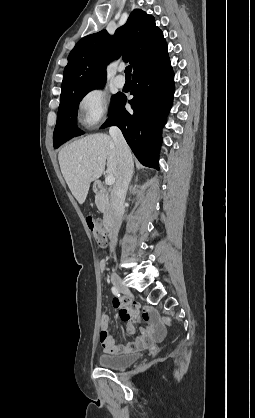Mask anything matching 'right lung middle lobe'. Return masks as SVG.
Wrapping results in <instances>:
<instances>
[{"label": "right lung middle lobe", "mask_w": 255, "mask_h": 418, "mask_svg": "<svg viewBox=\"0 0 255 418\" xmlns=\"http://www.w3.org/2000/svg\"><path fill=\"white\" fill-rule=\"evenodd\" d=\"M104 83H99L85 88L75 89L61 93L57 122L53 134V146L58 148L69 139L83 134L77 128V112L81 99L92 89L102 88ZM118 94L112 97V106L117 100Z\"/></svg>", "instance_id": "dd1d6c3e"}]
</instances>
